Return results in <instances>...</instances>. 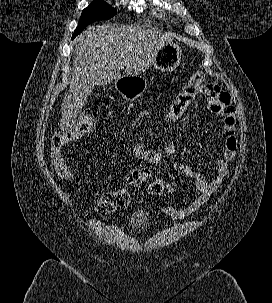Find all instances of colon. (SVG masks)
Here are the masks:
<instances>
[{
    "label": "colon",
    "instance_id": "1",
    "mask_svg": "<svg viewBox=\"0 0 272 303\" xmlns=\"http://www.w3.org/2000/svg\"><path fill=\"white\" fill-rule=\"evenodd\" d=\"M204 73L196 72L187 85L176 96L168 107L163 118L162 126L168 130L183 127L187 122V112L193 103L195 96L200 92ZM95 128V122L91 117L84 116L69 123L63 130L56 133L51 143V161L57 174L63 179H73L74 173L67 165L64 158V148L73 139L82 137ZM150 135H141L132 139L133 148H147ZM166 182L161 178L154 180L148 188L149 194L160 196L165 191ZM131 204V197L124 191H113L103 194L97 203V211L109 214L117 210L127 208Z\"/></svg>",
    "mask_w": 272,
    "mask_h": 303
}]
</instances>
